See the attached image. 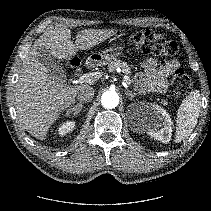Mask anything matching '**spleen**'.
Segmentation results:
<instances>
[{"instance_id":"1","label":"spleen","mask_w":211,"mask_h":211,"mask_svg":"<svg viewBox=\"0 0 211 211\" xmlns=\"http://www.w3.org/2000/svg\"><path fill=\"white\" fill-rule=\"evenodd\" d=\"M200 107L199 90L191 91L178 109L175 142H181L191 134L197 124Z\"/></svg>"}]
</instances>
